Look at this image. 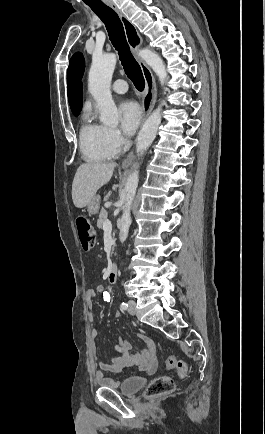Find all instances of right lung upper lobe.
Masks as SVG:
<instances>
[{
    "label": "right lung upper lobe",
    "mask_w": 265,
    "mask_h": 434,
    "mask_svg": "<svg viewBox=\"0 0 265 434\" xmlns=\"http://www.w3.org/2000/svg\"><path fill=\"white\" fill-rule=\"evenodd\" d=\"M85 61L81 53H75L69 62L67 71L68 100L70 106L82 104V76Z\"/></svg>",
    "instance_id": "obj_1"
}]
</instances>
